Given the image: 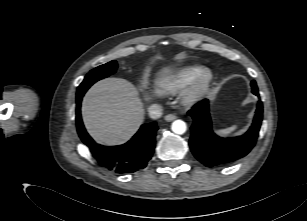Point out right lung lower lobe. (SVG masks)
I'll return each instance as SVG.
<instances>
[{
    "label": "right lung lower lobe",
    "mask_w": 307,
    "mask_h": 221,
    "mask_svg": "<svg viewBox=\"0 0 307 221\" xmlns=\"http://www.w3.org/2000/svg\"><path fill=\"white\" fill-rule=\"evenodd\" d=\"M83 95L77 96L76 125L79 137L88 146L98 164L118 174L133 173L146 167L155 148L156 122L143 124L127 143L106 147L97 144L86 132L80 114Z\"/></svg>",
    "instance_id": "obj_1"
}]
</instances>
